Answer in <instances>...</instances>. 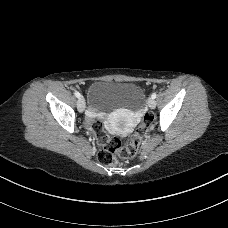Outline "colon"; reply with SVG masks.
<instances>
[{"label":"colon","mask_w":228,"mask_h":228,"mask_svg":"<svg viewBox=\"0 0 228 228\" xmlns=\"http://www.w3.org/2000/svg\"><path fill=\"white\" fill-rule=\"evenodd\" d=\"M93 116H95L94 113ZM152 121V117L150 115H146L143 123L137 129L136 133L127 145H123L118 139L106 141L98 153L100 163L104 165H111L115 162L116 156L124 160L135 158L139 151L140 143L148 128L152 124ZM92 127L99 136L103 135V127L98 120H94Z\"/></svg>","instance_id":"colon-1"}]
</instances>
